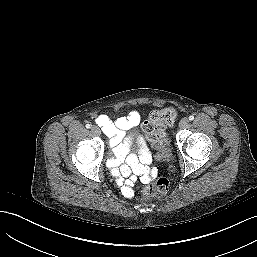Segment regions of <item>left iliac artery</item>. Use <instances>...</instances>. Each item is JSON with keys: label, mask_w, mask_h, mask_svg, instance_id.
Here are the masks:
<instances>
[{"label": "left iliac artery", "mask_w": 257, "mask_h": 257, "mask_svg": "<svg viewBox=\"0 0 257 257\" xmlns=\"http://www.w3.org/2000/svg\"><path fill=\"white\" fill-rule=\"evenodd\" d=\"M189 120L190 121L194 120V116L193 115L189 116Z\"/></svg>", "instance_id": "1"}]
</instances>
